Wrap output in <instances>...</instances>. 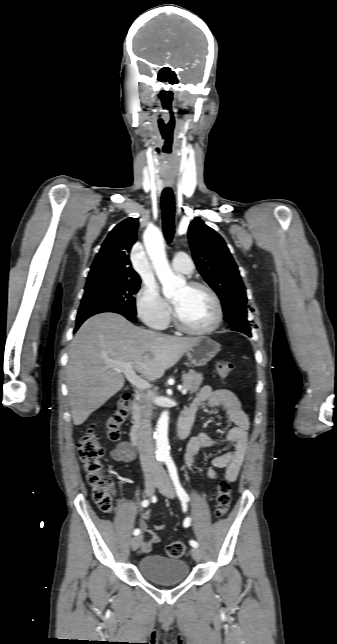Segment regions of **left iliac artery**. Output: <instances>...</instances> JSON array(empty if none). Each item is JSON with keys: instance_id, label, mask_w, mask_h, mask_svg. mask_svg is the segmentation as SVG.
Listing matches in <instances>:
<instances>
[{"instance_id": "44dca946", "label": "left iliac artery", "mask_w": 337, "mask_h": 644, "mask_svg": "<svg viewBox=\"0 0 337 644\" xmlns=\"http://www.w3.org/2000/svg\"><path fill=\"white\" fill-rule=\"evenodd\" d=\"M165 463L167 465L169 475H170V477L172 479V482H173V484L175 486L176 493H177L179 499L182 502H188L189 501V496H188V494L186 493V491L183 489V487L180 484L178 473H177V468L175 466V463L173 462V460L171 458H166ZM190 523H191V519L189 517H187L183 522V526L188 527L190 525ZM189 543H190V545L192 547H195V548L198 547V543L196 541H194V540H190Z\"/></svg>"}]
</instances>
